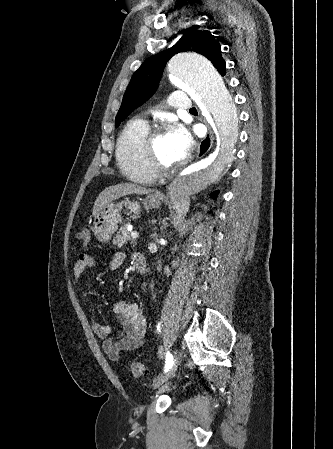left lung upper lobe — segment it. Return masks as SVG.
I'll return each mask as SVG.
<instances>
[{"label":"left lung upper lobe","mask_w":333,"mask_h":449,"mask_svg":"<svg viewBox=\"0 0 333 449\" xmlns=\"http://www.w3.org/2000/svg\"><path fill=\"white\" fill-rule=\"evenodd\" d=\"M216 37L207 30H186L173 47L146 59L133 74L125 91L122 105L115 119V126H118L156 91L166 63L176 53L187 51L200 53L213 63L220 74L224 75L225 61L221 56V46Z\"/></svg>","instance_id":"1"}]
</instances>
